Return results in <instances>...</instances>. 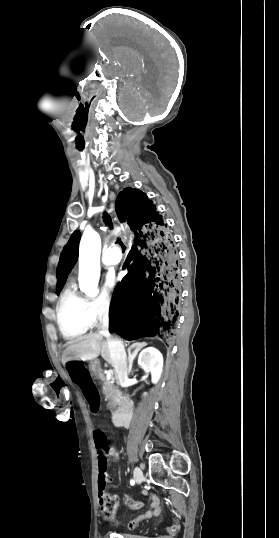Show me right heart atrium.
<instances>
[{
	"mask_svg": "<svg viewBox=\"0 0 279 538\" xmlns=\"http://www.w3.org/2000/svg\"><path fill=\"white\" fill-rule=\"evenodd\" d=\"M114 313V302L108 293H102L90 300V315L93 325L108 320Z\"/></svg>",
	"mask_w": 279,
	"mask_h": 538,
	"instance_id": "right-heart-atrium-1",
	"label": "right heart atrium"
}]
</instances>
